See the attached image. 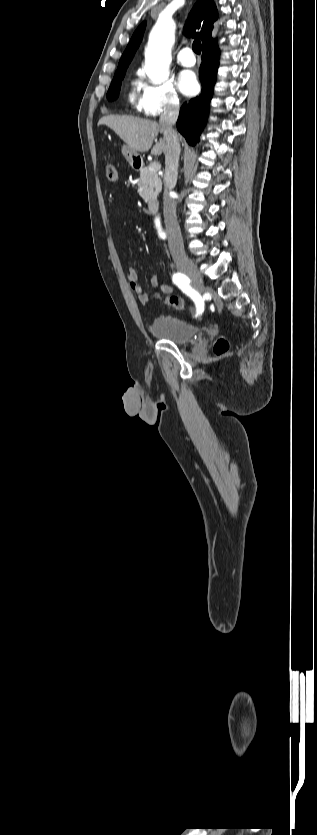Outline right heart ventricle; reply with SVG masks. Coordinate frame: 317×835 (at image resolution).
I'll list each match as a JSON object with an SVG mask.
<instances>
[{
	"label": "right heart ventricle",
	"instance_id": "right-heart-ventricle-1",
	"mask_svg": "<svg viewBox=\"0 0 317 835\" xmlns=\"http://www.w3.org/2000/svg\"><path fill=\"white\" fill-rule=\"evenodd\" d=\"M130 99H131V100H133V99H134V92H132V93L130 94Z\"/></svg>",
	"mask_w": 317,
	"mask_h": 835
}]
</instances>
